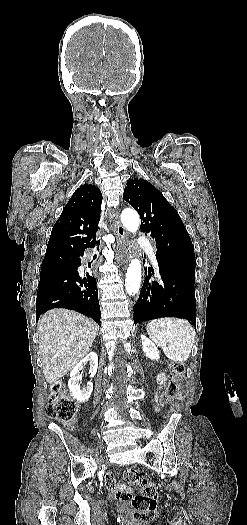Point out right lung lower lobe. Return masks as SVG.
Masks as SVG:
<instances>
[{
    "label": "right lung lower lobe",
    "mask_w": 247,
    "mask_h": 525,
    "mask_svg": "<svg viewBox=\"0 0 247 525\" xmlns=\"http://www.w3.org/2000/svg\"><path fill=\"white\" fill-rule=\"evenodd\" d=\"M88 247H95V242L71 257L70 264L59 269L41 274L36 298V320L52 308H66L83 313L100 323V306L96 280L89 276L79 278L77 268L81 264L80 256ZM84 285L85 288H82Z\"/></svg>",
    "instance_id": "obj_1"
}]
</instances>
